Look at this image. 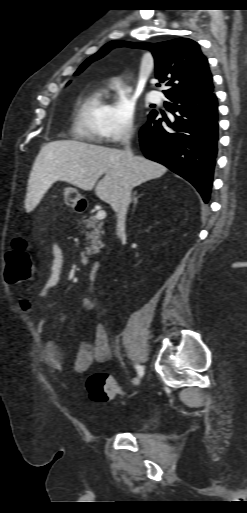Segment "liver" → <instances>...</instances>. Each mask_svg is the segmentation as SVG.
<instances>
[{
    "mask_svg": "<svg viewBox=\"0 0 247 513\" xmlns=\"http://www.w3.org/2000/svg\"><path fill=\"white\" fill-rule=\"evenodd\" d=\"M167 168L125 151L86 144L75 140H58L44 145L32 167L25 199L27 211L33 209L56 181H65L83 190H92L98 198L111 203L123 183L131 187L165 174Z\"/></svg>",
    "mask_w": 247,
    "mask_h": 513,
    "instance_id": "obj_1",
    "label": "liver"
}]
</instances>
